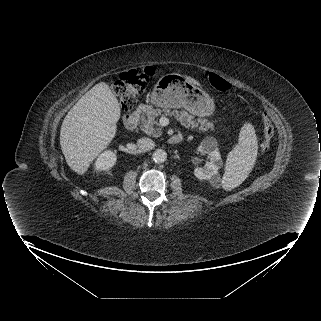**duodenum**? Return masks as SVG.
Returning a JSON list of instances; mask_svg holds the SVG:
<instances>
[{
  "instance_id": "410a0bca",
  "label": "duodenum",
  "mask_w": 321,
  "mask_h": 321,
  "mask_svg": "<svg viewBox=\"0 0 321 321\" xmlns=\"http://www.w3.org/2000/svg\"><path fill=\"white\" fill-rule=\"evenodd\" d=\"M143 109H144V105L141 104L134 111H132L130 114L125 116L124 125L127 129L132 130L136 127V125L138 123L139 116H140L141 112L143 111ZM181 139H182V137H180V136H174L171 139V142L177 144L181 141Z\"/></svg>"
}]
</instances>
